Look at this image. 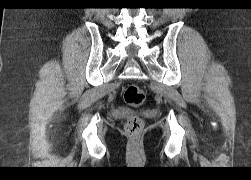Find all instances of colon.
<instances>
[{
	"mask_svg": "<svg viewBox=\"0 0 251 180\" xmlns=\"http://www.w3.org/2000/svg\"><path fill=\"white\" fill-rule=\"evenodd\" d=\"M125 102L132 106L138 107L145 100V92L138 85H128L123 94ZM143 129V121L138 115H131L125 124V130L130 136H138Z\"/></svg>",
	"mask_w": 251,
	"mask_h": 180,
	"instance_id": "obj_1",
	"label": "colon"
}]
</instances>
